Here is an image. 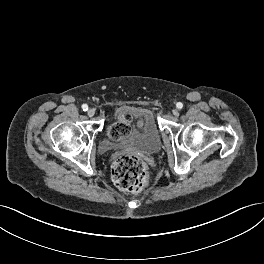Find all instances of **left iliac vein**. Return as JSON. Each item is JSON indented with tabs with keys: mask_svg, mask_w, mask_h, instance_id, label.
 <instances>
[{
	"mask_svg": "<svg viewBox=\"0 0 264 264\" xmlns=\"http://www.w3.org/2000/svg\"><path fill=\"white\" fill-rule=\"evenodd\" d=\"M172 113H173L174 116H178L179 115V111L177 109H174L172 111Z\"/></svg>",
	"mask_w": 264,
	"mask_h": 264,
	"instance_id": "4c4485c4",
	"label": "left iliac vein"
}]
</instances>
